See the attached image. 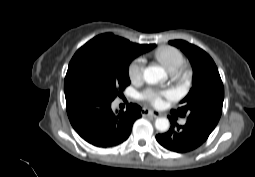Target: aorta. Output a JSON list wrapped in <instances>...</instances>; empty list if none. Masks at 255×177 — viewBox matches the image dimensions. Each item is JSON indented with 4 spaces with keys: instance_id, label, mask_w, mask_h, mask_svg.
Returning a JSON list of instances; mask_svg holds the SVG:
<instances>
[{
    "instance_id": "1",
    "label": "aorta",
    "mask_w": 255,
    "mask_h": 177,
    "mask_svg": "<svg viewBox=\"0 0 255 177\" xmlns=\"http://www.w3.org/2000/svg\"><path fill=\"white\" fill-rule=\"evenodd\" d=\"M143 78L148 83H157L166 78V73L163 68L159 66H149L144 70ZM170 122L167 118H157L155 121V128L160 132L168 131Z\"/></svg>"
}]
</instances>
